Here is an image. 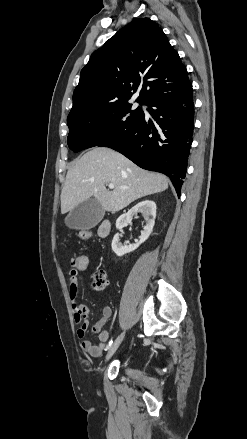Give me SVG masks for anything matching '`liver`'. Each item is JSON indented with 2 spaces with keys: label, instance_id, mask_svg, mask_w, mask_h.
I'll return each instance as SVG.
<instances>
[{
  "label": "liver",
  "instance_id": "6515ba94",
  "mask_svg": "<svg viewBox=\"0 0 247 439\" xmlns=\"http://www.w3.org/2000/svg\"><path fill=\"white\" fill-rule=\"evenodd\" d=\"M110 183L115 185L111 191L106 189ZM167 188L166 176L148 172L112 149L94 148L69 168L61 192V213L91 197L104 210L117 212L139 198Z\"/></svg>",
  "mask_w": 247,
  "mask_h": 439
}]
</instances>
